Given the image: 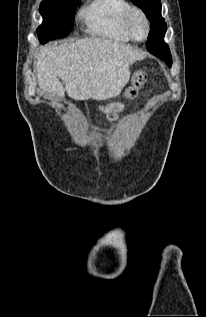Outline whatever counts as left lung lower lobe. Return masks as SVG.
Listing matches in <instances>:
<instances>
[{
    "instance_id": "1",
    "label": "left lung lower lobe",
    "mask_w": 206,
    "mask_h": 317,
    "mask_svg": "<svg viewBox=\"0 0 206 317\" xmlns=\"http://www.w3.org/2000/svg\"><path fill=\"white\" fill-rule=\"evenodd\" d=\"M147 49L151 54L161 59H166L165 55L170 54L169 47L164 41H155L151 44H147Z\"/></svg>"
}]
</instances>
